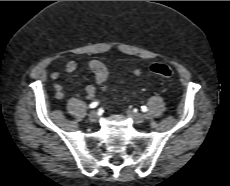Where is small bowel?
I'll list each match as a JSON object with an SVG mask.
<instances>
[{
  "label": "small bowel",
  "mask_w": 230,
  "mask_h": 186,
  "mask_svg": "<svg viewBox=\"0 0 230 186\" xmlns=\"http://www.w3.org/2000/svg\"><path fill=\"white\" fill-rule=\"evenodd\" d=\"M78 63L76 61H69L65 65V72L71 74L78 69ZM89 68L94 73L95 76V83L89 84L85 87V95L88 99H92L97 91V88L104 85L108 78V68L107 66L100 60L92 59L89 62ZM134 74L136 76H140V71L138 69L134 70ZM51 79L56 81L60 77V73L58 71H54L50 75ZM55 96L58 99H61L65 96L66 91L62 84L55 83L54 84Z\"/></svg>",
  "instance_id": "small-bowel-1"
}]
</instances>
